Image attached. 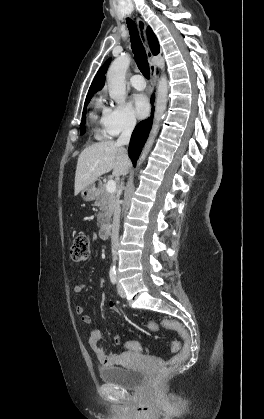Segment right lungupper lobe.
Here are the masks:
<instances>
[{
    "label": "right lung upper lobe",
    "mask_w": 264,
    "mask_h": 419,
    "mask_svg": "<svg viewBox=\"0 0 264 419\" xmlns=\"http://www.w3.org/2000/svg\"><path fill=\"white\" fill-rule=\"evenodd\" d=\"M147 36L150 43V48L153 53V55H157L160 52L159 43L158 40L153 33L152 29L150 27L147 28ZM111 62V58H109L98 70L96 76L94 77V80L89 88L88 95L86 97V100L91 98L93 94L97 91H99L103 86L105 82V74L107 72L108 66Z\"/></svg>",
    "instance_id": "1"
}]
</instances>
